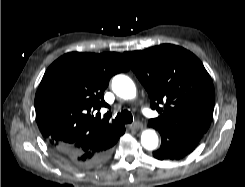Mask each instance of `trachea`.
Listing matches in <instances>:
<instances>
[{"label": "trachea", "mask_w": 245, "mask_h": 187, "mask_svg": "<svg viewBox=\"0 0 245 187\" xmlns=\"http://www.w3.org/2000/svg\"><path fill=\"white\" fill-rule=\"evenodd\" d=\"M112 122L115 124H130L133 122V116L130 111L123 110L117 114L115 119H112Z\"/></svg>", "instance_id": "trachea-1"}]
</instances>
